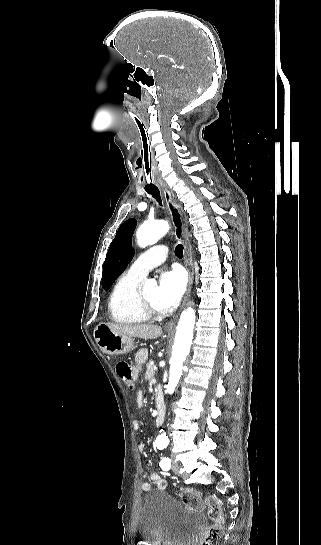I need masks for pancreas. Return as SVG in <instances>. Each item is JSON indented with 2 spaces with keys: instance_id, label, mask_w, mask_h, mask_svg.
Returning a JSON list of instances; mask_svg holds the SVG:
<instances>
[{
  "instance_id": "obj_1",
  "label": "pancreas",
  "mask_w": 321,
  "mask_h": 545,
  "mask_svg": "<svg viewBox=\"0 0 321 545\" xmlns=\"http://www.w3.org/2000/svg\"><path fill=\"white\" fill-rule=\"evenodd\" d=\"M153 361H149L146 365V375L145 379L146 381H151V379H154L155 371H154V365H152Z\"/></svg>"
}]
</instances>
